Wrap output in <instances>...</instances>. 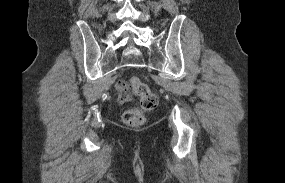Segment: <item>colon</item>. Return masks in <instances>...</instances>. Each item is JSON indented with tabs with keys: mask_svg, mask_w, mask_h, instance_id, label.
<instances>
[{
	"mask_svg": "<svg viewBox=\"0 0 285 183\" xmlns=\"http://www.w3.org/2000/svg\"><path fill=\"white\" fill-rule=\"evenodd\" d=\"M133 93L139 97L141 109L127 110L123 115V120L129 127H140L145 124V113L152 111L158 104V98L150 88L138 78L132 77L129 80Z\"/></svg>",
	"mask_w": 285,
	"mask_h": 183,
	"instance_id": "1",
	"label": "colon"
}]
</instances>
